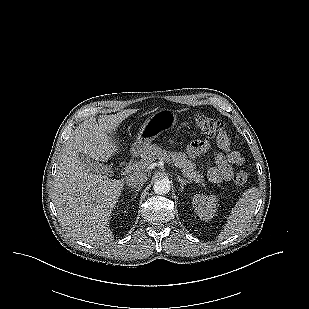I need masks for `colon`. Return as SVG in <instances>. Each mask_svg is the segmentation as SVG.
Returning <instances> with one entry per match:
<instances>
[{"label":"colon","instance_id":"obj_1","mask_svg":"<svg viewBox=\"0 0 309 309\" xmlns=\"http://www.w3.org/2000/svg\"><path fill=\"white\" fill-rule=\"evenodd\" d=\"M196 126L206 135L214 137L223 132L224 125L221 121L207 117L201 113L194 116ZM249 179L247 170H240L235 176V182L238 185H245Z\"/></svg>","mask_w":309,"mask_h":309}]
</instances>
